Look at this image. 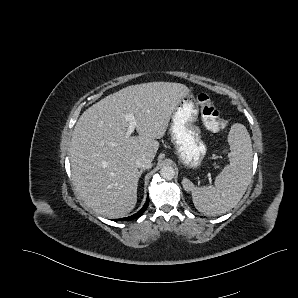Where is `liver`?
I'll use <instances>...</instances> for the list:
<instances>
[{
    "label": "liver",
    "mask_w": 298,
    "mask_h": 298,
    "mask_svg": "<svg viewBox=\"0 0 298 298\" xmlns=\"http://www.w3.org/2000/svg\"><path fill=\"white\" fill-rule=\"evenodd\" d=\"M190 94L177 82H148L122 88L85 110L69 149L73 184L84 203L110 218L130 213L137 202L136 159L153 160L173 111ZM133 113L138 136L126 137Z\"/></svg>",
    "instance_id": "6515ba94"
}]
</instances>
